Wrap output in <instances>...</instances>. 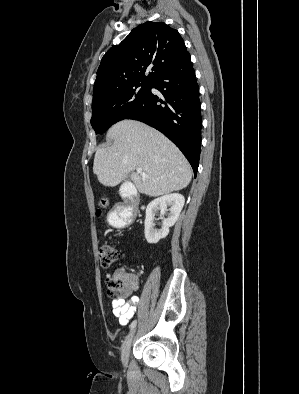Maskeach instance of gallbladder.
<instances>
[{
  "instance_id": "obj_1",
  "label": "gallbladder",
  "mask_w": 299,
  "mask_h": 394,
  "mask_svg": "<svg viewBox=\"0 0 299 394\" xmlns=\"http://www.w3.org/2000/svg\"><path fill=\"white\" fill-rule=\"evenodd\" d=\"M128 181V178L125 180V182H127Z\"/></svg>"
}]
</instances>
